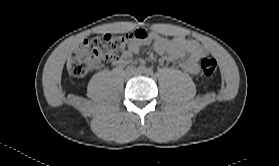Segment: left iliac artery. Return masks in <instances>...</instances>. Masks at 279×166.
<instances>
[{
    "label": "left iliac artery",
    "instance_id": "44dca946",
    "mask_svg": "<svg viewBox=\"0 0 279 166\" xmlns=\"http://www.w3.org/2000/svg\"><path fill=\"white\" fill-rule=\"evenodd\" d=\"M146 73H147L148 75H151V74H153V70H152L151 68H148V69L146 70Z\"/></svg>",
    "mask_w": 279,
    "mask_h": 166
}]
</instances>
